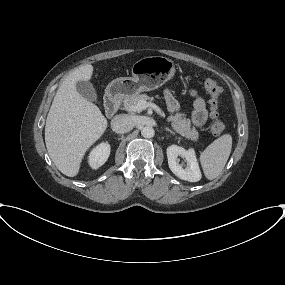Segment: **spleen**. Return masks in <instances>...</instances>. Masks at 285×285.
<instances>
[{"mask_svg": "<svg viewBox=\"0 0 285 285\" xmlns=\"http://www.w3.org/2000/svg\"><path fill=\"white\" fill-rule=\"evenodd\" d=\"M232 149V137L224 134L200 154V163L207 179L217 178L223 171Z\"/></svg>", "mask_w": 285, "mask_h": 285, "instance_id": "spleen-1", "label": "spleen"}]
</instances>
